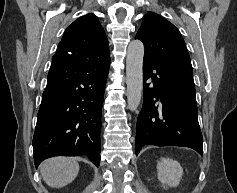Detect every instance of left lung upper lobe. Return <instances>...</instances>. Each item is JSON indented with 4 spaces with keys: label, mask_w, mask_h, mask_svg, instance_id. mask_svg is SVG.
<instances>
[{
    "label": "left lung upper lobe",
    "mask_w": 237,
    "mask_h": 193,
    "mask_svg": "<svg viewBox=\"0 0 237 193\" xmlns=\"http://www.w3.org/2000/svg\"><path fill=\"white\" fill-rule=\"evenodd\" d=\"M136 38L144 43V58L174 72L193 77L184 39L178 29L162 16L148 12Z\"/></svg>",
    "instance_id": "obj_1"
}]
</instances>
